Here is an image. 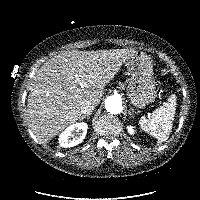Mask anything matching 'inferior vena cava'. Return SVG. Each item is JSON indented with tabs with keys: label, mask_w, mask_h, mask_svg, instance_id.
I'll return each mask as SVG.
<instances>
[{
	"label": "inferior vena cava",
	"mask_w": 200,
	"mask_h": 200,
	"mask_svg": "<svg viewBox=\"0 0 200 200\" xmlns=\"http://www.w3.org/2000/svg\"><path fill=\"white\" fill-rule=\"evenodd\" d=\"M95 103L92 102L91 100H86L82 103L80 110L82 114H88L93 111L95 107Z\"/></svg>",
	"instance_id": "602c4592"
}]
</instances>
